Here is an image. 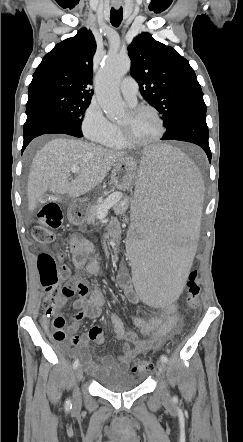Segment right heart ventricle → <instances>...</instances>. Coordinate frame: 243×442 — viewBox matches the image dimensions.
I'll return each mask as SVG.
<instances>
[{"label": "right heart ventricle", "instance_id": "right-heart-ventricle-1", "mask_svg": "<svg viewBox=\"0 0 243 442\" xmlns=\"http://www.w3.org/2000/svg\"><path fill=\"white\" fill-rule=\"evenodd\" d=\"M104 145L112 148H125V144L122 142L119 134V127L117 125H113V131L111 135L102 142Z\"/></svg>", "mask_w": 243, "mask_h": 442}]
</instances>
